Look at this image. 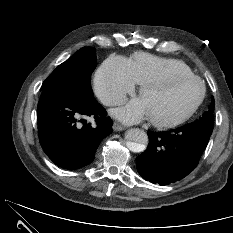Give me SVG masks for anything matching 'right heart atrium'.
Returning <instances> with one entry per match:
<instances>
[{"label":"right heart atrium","instance_id":"1","mask_svg":"<svg viewBox=\"0 0 233 233\" xmlns=\"http://www.w3.org/2000/svg\"><path fill=\"white\" fill-rule=\"evenodd\" d=\"M91 85L94 95L105 106L119 105L135 91L126 60L120 56L106 59L94 73Z\"/></svg>","mask_w":233,"mask_h":233}]
</instances>
